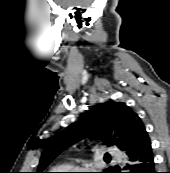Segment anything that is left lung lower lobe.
<instances>
[{
  "label": "left lung lower lobe",
  "instance_id": "1",
  "mask_svg": "<svg viewBox=\"0 0 170 173\" xmlns=\"http://www.w3.org/2000/svg\"><path fill=\"white\" fill-rule=\"evenodd\" d=\"M126 155L128 156V163L124 169H127L128 173H156L150 141L126 152ZM113 173H119V171L116 170Z\"/></svg>",
  "mask_w": 170,
  "mask_h": 173
}]
</instances>
